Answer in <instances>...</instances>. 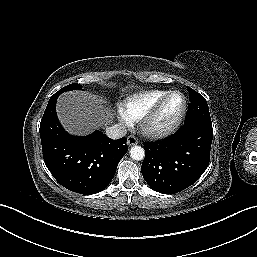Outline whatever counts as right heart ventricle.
<instances>
[{
    "label": "right heart ventricle",
    "instance_id": "1",
    "mask_svg": "<svg viewBox=\"0 0 257 257\" xmlns=\"http://www.w3.org/2000/svg\"><path fill=\"white\" fill-rule=\"evenodd\" d=\"M169 92L168 90H150L131 95L122 102L121 113L130 123L139 121Z\"/></svg>",
    "mask_w": 257,
    "mask_h": 257
}]
</instances>
